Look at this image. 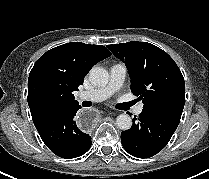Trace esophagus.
<instances>
[{
  "mask_svg": "<svg viewBox=\"0 0 209 179\" xmlns=\"http://www.w3.org/2000/svg\"><path fill=\"white\" fill-rule=\"evenodd\" d=\"M98 117V111L94 107H85L84 109H78L74 113L73 119L80 131L87 132L94 127Z\"/></svg>",
  "mask_w": 209,
  "mask_h": 179,
  "instance_id": "1",
  "label": "esophagus"
}]
</instances>
